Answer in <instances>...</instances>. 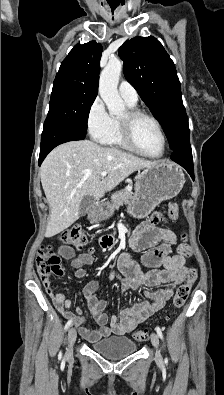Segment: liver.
I'll return each instance as SVG.
<instances>
[{"label": "liver", "mask_w": 224, "mask_h": 395, "mask_svg": "<svg viewBox=\"0 0 224 395\" xmlns=\"http://www.w3.org/2000/svg\"><path fill=\"white\" fill-rule=\"evenodd\" d=\"M156 163L89 140L71 141L56 147L40 169L50 207L45 236L59 234L79 218L84 196L91 195L99 200L133 172ZM103 171L108 173L106 177L101 176Z\"/></svg>", "instance_id": "1"}]
</instances>
